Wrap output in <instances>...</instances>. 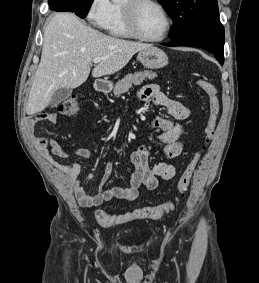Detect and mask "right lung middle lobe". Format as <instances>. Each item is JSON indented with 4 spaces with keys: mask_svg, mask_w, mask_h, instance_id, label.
Listing matches in <instances>:
<instances>
[{
    "mask_svg": "<svg viewBox=\"0 0 259 283\" xmlns=\"http://www.w3.org/2000/svg\"><path fill=\"white\" fill-rule=\"evenodd\" d=\"M78 1H79V4H78V8L75 14L81 18H85L94 0H78Z\"/></svg>",
    "mask_w": 259,
    "mask_h": 283,
    "instance_id": "dd1d6c3e",
    "label": "right lung middle lobe"
}]
</instances>
